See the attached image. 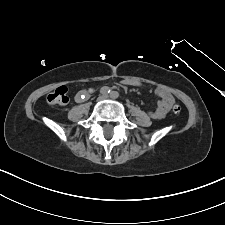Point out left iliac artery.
<instances>
[{
  "mask_svg": "<svg viewBox=\"0 0 225 225\" xmlns=\"http://www.w3.org/2000/svg\"><path fill=\"white\" fill-rule=\"evenodd\" d=\"M110 96H111L112 98L116 99V98H118L119 93L116 92V91H112L111 94H110Z\"/></svg>",
  "mask_w": 225,
  "mask_h": 225,
  "instance_id": "left-iliac-artery-1",
  "label": "left iliac artery"
}]
</instances>
